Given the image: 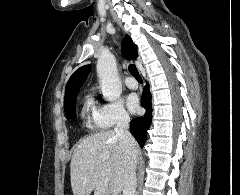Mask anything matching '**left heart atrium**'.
<instances>
[{"instance_id":"left-heart-atrium-1","label":"left heart atrium","mask_w":240,"mask_h":195,"mask_svg":"<svg viewBox=\"0 0 240 195\" xmlns=\"http://www.w3.org/2000/svg\"><path fill=\"white\" fill-rule=\"evenodd\" d=\"M129 106L133 111H137L139 109V99L137 95H131L129 98Z\"/></svg>"}]
</instances>
